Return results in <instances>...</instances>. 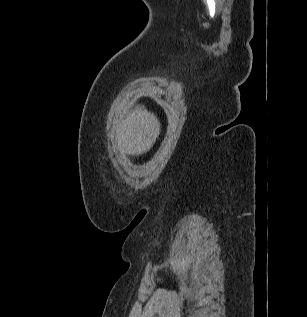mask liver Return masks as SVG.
I'll return each instance as SVG.
<instances>
[{"instance_id": "6515ba94", "label": "liver", "mask_w": 307, "mask_h": 317, "mask_svg": "<svg viewBox=\"0 0 307 317\" xmlns=\"http://www.w3.org/2000/svg\"><path fill=\"white\" fill-rule=\"evenodd\" d=\"M160 131L158 118L139 105L117 125V147L121 154L142 155L152 148Z\"/></svg>"}]
</instances>
